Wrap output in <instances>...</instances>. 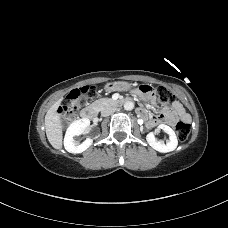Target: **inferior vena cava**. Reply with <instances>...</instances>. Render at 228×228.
<instances>
[{
  "label": "inferior vena cava",
  "mask_w": 228,
  "mask_h": 228,
  "mask_svg": "<svg viewBox=\"0 0 228 228\" xmlns=\"http://www.w3.org/2000/svg\"><path fill=\"white\" fill-rule=\"evenodd\" d=\"M115 111H116L115 107H107L102 111L101 115L102 116H109L110 114H113Z\"/></svg>",
  "instance_id": "1"
}]
</instances>
